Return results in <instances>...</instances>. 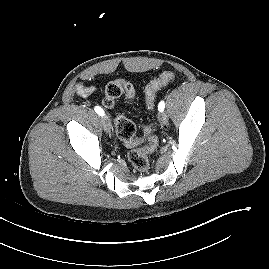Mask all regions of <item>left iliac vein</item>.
<instances>
[{
    "instance_id": "obj_1",
    "label": "left iliac vein",
    "mask_w": 269,
    "mask_h": 269,
    "mask_svg": "<svg viewBox=\"0 0 269 269\" xmlns=\"http://www.w3.org/2000/svg\"><path fill=\"white\" fill-rule=\"evenodd\" d=\"M168 115H167V113H165V112H161L160 114H159V122L162 124V125H165V124H167L168 123Z\"/></svg>"
}]
</instances>
